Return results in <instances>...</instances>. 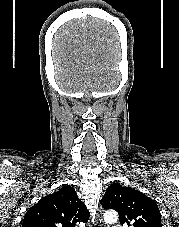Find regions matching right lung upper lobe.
I'll use <instances>...</instances> for the list:
<instances>
[{
	"label": "right lung upper lobe",
	"instance_id": "right-lung-upper-lobe-1",
	"mask_svg": "<svg viewBox=\"0 0 179 227\" xmlns=\"http://www.w3.org/2000/svg\"><path fill=\"white\" fill-rule=\"evenodd\" d=\"M89 211L71 186L42 198L24 216L22 227H75L87 223Z\"/></svg>",
	"mask_w": 179,
	"mask_h": 227
}]
</instances>
